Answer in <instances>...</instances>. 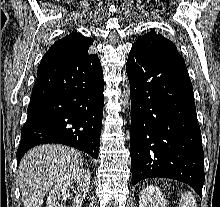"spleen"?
Instances as JSON below:
<instances>
[{
	"mask_svg": "<svg viewBox=\"0 0 220 207\" xmlns=\"http://www.w3.org/2000/svg\"><path fill=\"white\" fill-rule=\"evenodd\" d=\"M180 207H197L196 200L190 192L181 195Z\"/></svg>",
	"mask_w": 220,
	"mask_h": 207,
	"instance_id": "obj_1",
	"label": "spleen"
}]
</instances>
